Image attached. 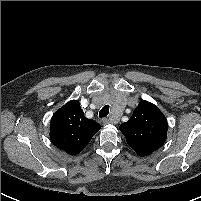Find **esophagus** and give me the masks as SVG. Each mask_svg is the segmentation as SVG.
I'll list each match as a JSON object with an SVG mask.
<instances>
[{
    "label": "esophagus",
    "instance_id": "34e87169",
    "mask_svg": "<svg viewBox=\"0 0 201 201\" xmlns=\"http://www.w3.org/2000/svg\"><path fill=\"white\" fill-rule=\"evenodd\" d=\"M102 123H103V125H107V124H110L111 121L108 118H105L102 120Z\"/></svg>",
    "mask_w": 201,
    "mask_h": 201
}]
</instances>
